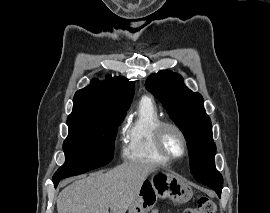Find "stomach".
I'll return each mask as SVG.
<instances>
[{
  "mask_svg": "<svg viewBox=\"0 0 270 213\" xmlns=\"http://www.w3.org/2000/svg\"><path fill=\"white\" fill-rule=\"evenodd\" d=\"M193 196L189 184L180 176L163 168H158L145 181L128 213H148L158 198H169L176 203H185Z\"/></svg>",
  "mask_w": 270,
  "mask_h": 213,
  "instance_id": "stomach-1",
  "label": "stomach"
}]
</instances>
